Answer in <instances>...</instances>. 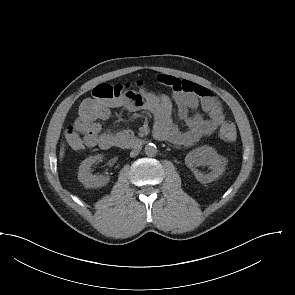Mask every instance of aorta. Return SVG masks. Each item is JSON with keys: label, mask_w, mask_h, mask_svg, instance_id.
Returning a JSON list of instances; mask_svg holds the SVG:
<instances>
[{"label": "aorta", "mask_w": 295, "mask_h": 295, "mask_svg": "<svg viewBox=\"0 0 295 295\" xmlns=\"http://www.w3.org/2000/svg\"><path fill=\"white\" fill-rule=\"evenodd\" d=\"M145 154L149 157H153L157 154V147L153 143H149L145 146Z\"/></svg>", "instance_id": "aorta-1"}]
</instances>
